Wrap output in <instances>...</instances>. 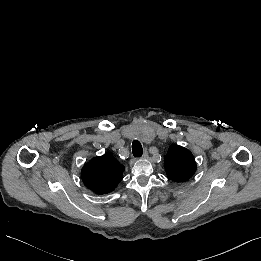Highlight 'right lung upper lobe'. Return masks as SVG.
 I'll use <instances>...</instances> for the list:
<instances>
[{"mask_svg": "<svg viewBox=\"0 0 261 261\" xmlns=\"http://www.w3.org/2000/svg\"><path fill=\"white\" fill-rule=\"evenodd\" d=\"M124 166L110 153L91 159L81 170L84 185L98 194L109 193L122 180Z\"/></svg>", "mask_w": 261, "mask_h": 261, "instance_id": "obj_1", "label": "right lung upper lobe"}]
</instances>
